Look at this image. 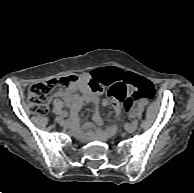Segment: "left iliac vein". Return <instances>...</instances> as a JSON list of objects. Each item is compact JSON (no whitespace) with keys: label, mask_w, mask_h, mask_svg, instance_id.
Masks as SVG:
<instances>
[{"label":"left iliac vein","mask_w":194,"mask_h":193,"mask_svg":"<svg viewBox=\"0 0 194 193\" xmlns=\"http://www.w3.org/2000/svg\"><path fill=\"white\" fill-rule=\"evenodd\" d=\"M132 113H134L133 116H131ZM131 114H130V117H135V116H136V112H135V111H132ZM137 127H138V120H137V119H134V120L131 122V124H129V125L127 126V132H128V133H133V132L137 129Z\"/></svg>","instance_id":"obj_1"}]
</instances>
